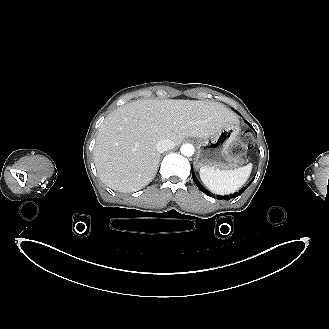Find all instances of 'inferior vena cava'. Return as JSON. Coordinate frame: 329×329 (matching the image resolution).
I'll return each instance as SVG.
<instances>
[{"label":"inferior vena cava","instance_id":"602c4592","mask_svg":"<svg viewBox=\"0 0 329 329\" xmlns=\"http://www.w3.org/2000/svg\"><path fill=\"white\" fill-rule=\"evenodd\" d=\"M175 147V143L171 139H161L156 144V149L159 153H163Z\"/></svg>","mask_w":329,"mask_h":329}]
</instances>
